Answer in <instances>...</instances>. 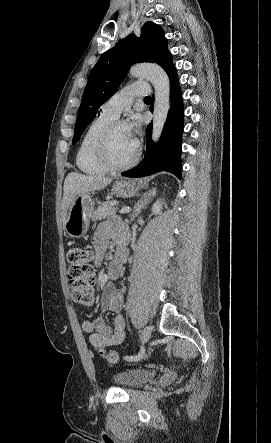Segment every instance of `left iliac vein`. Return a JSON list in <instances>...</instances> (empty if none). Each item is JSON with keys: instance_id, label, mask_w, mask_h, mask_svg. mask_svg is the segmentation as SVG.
Here are the masks:
<instances>
[{"instance_id": "obj_1", "label": "left iliac vein", "mask_w": 271, "mask_h": 443, "mask_svg": "<svg viewBox=\"0 0 271 443\" xmlns=\"http://www.w3.org/2000/svg\"><path fill=\"white\" fill-rule=\"evenodd\" d=\"M150 336H151V328H150V326H146L143 329L142 334H141L142 342L146 343L149 340Z\"/></svg>"}]
</instances>
